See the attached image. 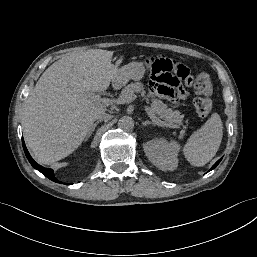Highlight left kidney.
<instances>
[{
	"mask_svg": "<svg viewBox=\"0 0 257 257\" xmlns=\"http://www.w3.org/2000/svg\"><path fill=\"white\" fill-rule=\"evenodd\" d=\"M144 152L149 161L162 171H173L178 166L180 145L165 138H156L144 144Z\"/></svg>",
	"mask_w": 257,
	"mask_h": 257,
	"instance_id": "left-kidney-1",
	"label": "left kidney"
}]
</instances>
